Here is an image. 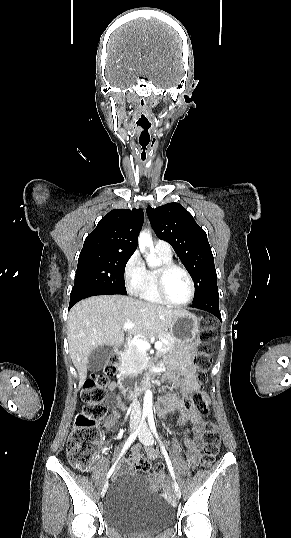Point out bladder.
Listing matches in <instances>:
<instances>
[{"instance_id": "31cf9c89", "label": "bladder", "mask_w": 291, "mask_h": 538, "mask_svg": "<svg viewBox=\"0 0 291 538\" xmlns=\"http://www.w3.org/2000/svg\"><path fill=\"white\" fill-rule=\"evenodd\" d=\"M111 480L103 496V516L109 526L126 533L155 532L173 521V508L149 491L141 475L119 473Z\"/></svg>"}]
</instances>
